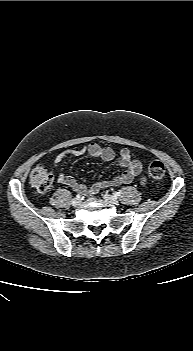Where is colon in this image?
<instances>
[{
	"label": "colon",
	"instance_id": "5ec220e1",
	"mask_svg": "<svg viewBox=\"0 0 193 351\" xmlns=\"http://www.w3.org/2000/svg\"><path fill=\"white\" fill-rule=\"evenodd\" d=\"M149 175L155 180H161L166 175L163 162L155 160L150 163ZM30 184L36 193L43 195L49 191L53 182V175L43 166H37L30 174Z\"/></svg>",
	"mask_w": 193,
	"mask_h": 351
}]
</instances>
